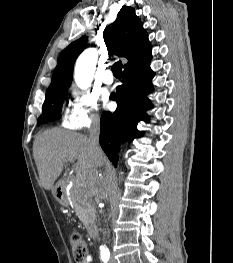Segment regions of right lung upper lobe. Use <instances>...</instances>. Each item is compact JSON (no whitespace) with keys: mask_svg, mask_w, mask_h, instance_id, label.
<instances>
[{"mask_svg":"<svg viewBox=\"0 0 233 263\" xmlns=\"http://www.w3.org/2000/svg\"><path fill=\"white\" fill-rule=\"evenodd\" d=\"M103 38L110 55L128 59L124 69L151 59L148 35L131 7L123 6L120 9L115 22L104 30ZM86 45L87 37L84 36L62 51L46 95L71 85L74 63Z\"/></svg>","mask_w":233,"mask_h":263,"instance_id":"right-lung-upper-lobe-1","label":"right lung upper lobe"}]
</instances>
